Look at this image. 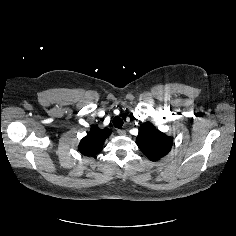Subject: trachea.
I'll return each instance as SVG.
<instances>
[{
  "label": "trachea",
  "instance_id": "trachea-1",
  "mask_svg": "<svg viewBox=\"0 0 236 236\" xmlns=\"http://www.w3.org/2000/svg\"><path fill=\"white\" fill-rule=\"evenodd\" d=\"M113 125L115 128L120 129L123 126V120L120 117L116 116L113 118Z\"/></svg>",
  "mask_w": 236,
  "mask_h": 236
}]
</instances>
